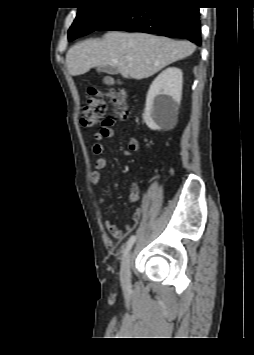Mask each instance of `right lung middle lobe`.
Returning <instances> with one entry per match:
<instances>
[{"label":"right lung middle lobe","instance_id":"1","mask_svg":"<svg viewBox=\"0 0 254 355\" xmlns=\"http://www.w3.org/2000/svg\"><path fill=\"white\" fill-rule=\"evenodd\" d=\"M123 4L116 0H95L78 8L68 31L69 41L97 30Z\"/></svg>","mask_w":254,"mask_h":355}]
</instances>
